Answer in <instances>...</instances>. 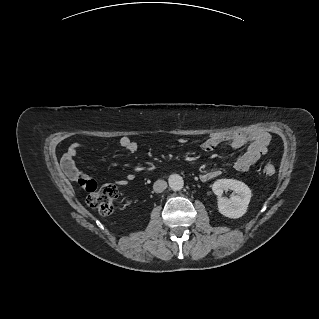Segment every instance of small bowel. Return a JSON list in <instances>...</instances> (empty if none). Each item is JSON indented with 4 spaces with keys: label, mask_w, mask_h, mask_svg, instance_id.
<instances>
[{
    "label": "small bowel",
    "mask_w": 319,
    "mask_h": 319,
    "mask_svg": "<svg viewBox=\"0 0 319 319\" xmlns=\"http://www.w3.org/2000/svg\"><path fill=\"white\" fill-rule=\"evenodd\" d=\"M269 141V135L260 130L251 132L228 131L211 135L202 143L201 147L206 152L213 151L223 144H229L234 149L246 147L243 154L234 163V168L237 171L246 172L266 153ZM118 142L119 145L129 153H135L138 149L137 144L128 136H121ZM78 147V144H73L70 149V154H75ZM219 175V171L210 170L202 172L199 178L202 182H208L217 178ZM70 176L74 179L87 178L74 168L70 170ZM132 179L133 175H128L126 178L118 179L115 184L119 187H123Z\"/></svg>",
    "instance_id": "1"
}]
</instances>
